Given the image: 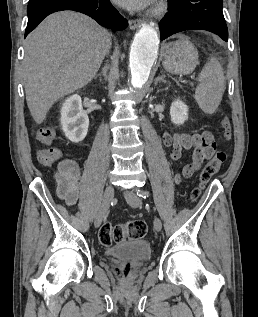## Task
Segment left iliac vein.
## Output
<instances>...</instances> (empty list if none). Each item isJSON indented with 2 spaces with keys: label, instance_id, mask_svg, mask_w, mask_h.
<instances>
[{
  "label": "left iliac vein",
  "instance_id": "obj_1",
  "mask_svg": "<svg viewBox=\"0 0 258 317\" xmlns=\"http://www.w3.org/2000/svg\"><path fill=\"white\" fill-rule=\"evenodd\" d=\"M124 193L127 192V195L125 194L124 196L126 197V201L128 202L129 206L133 207H139L140 204L142 203V198L137 195L136 193H130L128 190L123 191ZM129 192V193H128ZM154 227L156 232H161L162 231V222L160 218H155L154 222Z\"/></svg>",
  "mask_w": 258,
  "mask_h": 317
}]
</instances>
